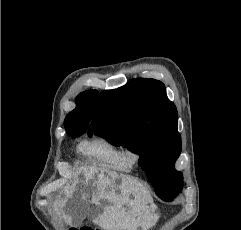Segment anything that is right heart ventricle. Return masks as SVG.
I'll return each instance as SVG.
<instances>
[{"label":"right heart ventricle","mask_w":241,"mask_h":230,"mask_svg":"<svg viewBox=\"0 0 241 230\" xmlns=\"http://www.w3.org/2000/svg\"><path fill=\"white\" fill-rule=\"evenodd\" d=\"M89 160L127 171L130 167L123 159V146L105 136H95L79 146Z\"/></svg>","instance_id":"e07e8e85"}]
</instances>
